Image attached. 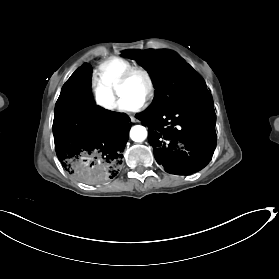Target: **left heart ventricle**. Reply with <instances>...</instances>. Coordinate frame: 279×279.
Returning a JSON list of instances; mask_svg holds the SVG:
<instances>
[{"instance_id":"1","label":"left heart ventricle","mask_w":279,"mask_h":279,"mask_svg":"<svg viewBox=\"0 0 279 279\" xmlns=\"http://www.w3.org/2000/svg\"><path fill=\"white\" fill-rule=\"evenodd\" d=\"M147 92V83L142 76H134L131 81L122 89L121 99L131 101H143Z\"/></svg>"}]
</instances>
